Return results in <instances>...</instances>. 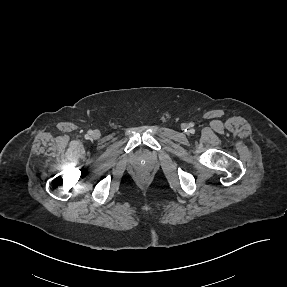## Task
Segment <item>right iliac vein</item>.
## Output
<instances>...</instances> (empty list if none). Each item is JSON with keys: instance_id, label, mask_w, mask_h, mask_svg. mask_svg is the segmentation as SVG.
<instances>
[{"instance_id": "63e3f726", "label": "right iliac vein", "mask_w": 287, "mask_h": 287, "mask_svg": "<svg viewBox=\"0 0 287 287\" xmlns=\"http://www.w3.org/2000/svg\"><path fill=\"white\" fill-rule=\"evenodd\" d=\"M93 137H94V138H99V133H98L97 131H95V132L93 133Z\"/></svg>"}]
</instances>
